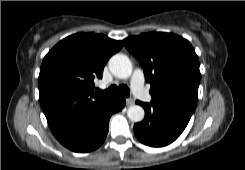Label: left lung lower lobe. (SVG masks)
I'll return each mask as SVG.
<instances>
[{"mask_svg":"<svg viewBox=\"0 0 245 170\" xmlns=\"http://www.w3.org/2000/svg\"><path fill=\"white\" fill-rule=\"evenodd\" d=\"M145 118L134 125L139 141L151 147H163L175 141L186 128L191 115L180 110L165 108L154 103H142Z\"/></svg>","mask_w":245,"mask_h":170,"instance_id":"obj_1","label":"left lung lower lobe"}]
</instances>
